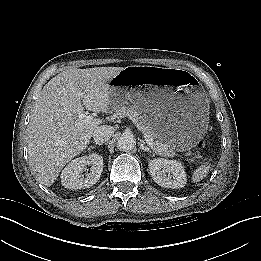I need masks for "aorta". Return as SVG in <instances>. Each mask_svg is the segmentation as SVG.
<instances>
[{
	"mask_svg": "<svg viewBox=\"0 0 261 261\" xmlns=\"http://www.w3.org/2000/svg\"><path fill=\"white\" fill-rule=\"evenodd\" d=\"M136 145L135 137L131 133H123L117 140V148L121 151H129Z\"/></svg>",
	"mask_w": 261,
	"mask_h": 261,
	"instance_id": "762f6f07",
	"label": "aorta"
}]
</instances>
